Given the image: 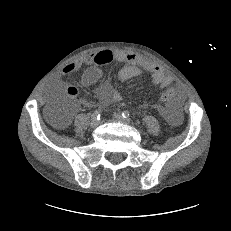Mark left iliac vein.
Segmentation results:
<instances>
[{
  "label": "left iliac vein",
  "mask_w": 231,
  "mask_h": 231,
  "mask_svg": "<svg viewBox=\"0 0 231 231\" xmlns=\"http://www.w3.org/2000/svg\"><path fill=\"white\" fill-rule=\"evenodd\" d=\"M114 118H115V120H117V121H119V122H121V123H123V124H129L128 120L124 119V118L121 116V114H119V113H115V114H114Z\"/></svg>",
  "instance_id": "4c4485c4"
}]
</instances>
